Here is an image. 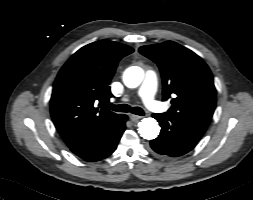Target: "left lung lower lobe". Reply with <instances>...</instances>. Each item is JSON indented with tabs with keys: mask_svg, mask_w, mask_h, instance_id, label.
Here are the masks:
<instances>
[{
	"mask_svg": "<svg viewBox=\"0 0 253 200\" xmlns=\"http://www.w3.org/2000/svg\"><path fill=\"white\" fill-rule=\"evenodd\" d=\"M161 126L160 135L150 142L152 151L169 158L192 150L206 131L205 126L171 114H153Z\"/></svg>",
	"mask_w": 253,
	"mask_h": 200,
	"instance_id": "0a47b994",
	"label": "left lung lower lobe"
}]
</instances>
